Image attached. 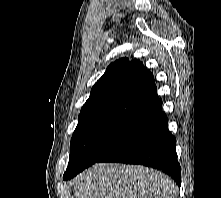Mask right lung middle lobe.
<instances>
[{"label": "right lung middle lobe", "instance_id": "right-lung-middle-lobe-1", "mask_svg": "<svg viewBox=\"0 0 221 198\" xmlns=\"http://www.w3.org/2000/svg\"><path fill=\"white\" fill-rule=\"evenodd\" d=\"M142 124L130 119H102L75 129L71 144L69 163L64 180L98 162L104 155L130 137Z\"/></svg>", "mask_w": 221, "mask_h": 198}]
</instances>
